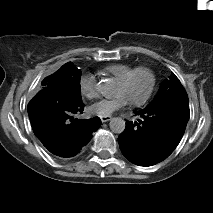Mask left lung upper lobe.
Wrapping results in <instances>:
<instances>
[{
  "mask_svg": "<svg viewBox=\"0 0 213 213\" xmlns=\"http://www.w3.org/2000/svg\"><path fill=\"white\" fill-rule=\"evenodd\" d=\"M145 109H171L189 117L188 96L175 74L161 84L158 94Z\"/></svg>",
  "mask_w": 213,
  "mask_h": 213,
  "instance_id": "left-lung-upper-lobe-1",
  "label": "left lung upper lobe"
}]
</instances>
